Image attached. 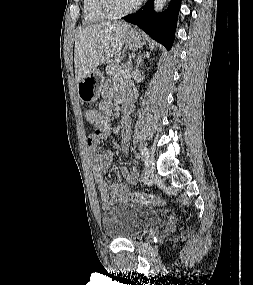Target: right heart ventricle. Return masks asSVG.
<instances>
[{
	"instance_id": "e07e8e85",
	"label": "right heart ventricle",
	"mask_w": 253,
	"mask_h": 285,
	"mask_svg": "<svg viewBox=\"0 0 253 285\" xmlns=\"http://www.w3.org/2000/svg\"><path fill=\"white\" fill-rule=\"evenodd\" d=\"M83 19L86 23H98L107 18L95 10L94 0H83Z\"/></svg>"
}]
</instances>
